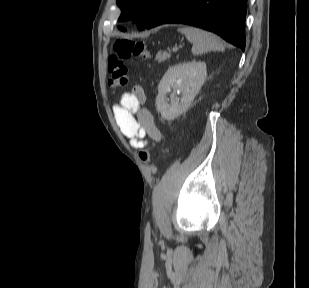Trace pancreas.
I'll return each instance as SVG.
<instances>
[{
  "instance_id": "cf45deb5",
  "label": "pancreas",
  "mask_w": 309,
  "mask_h": 288,
  "mask_svg": "<svg viewBox=\"0 0 309 288\" xmlns=\"http://www.w3.org/2000/svg\"><path fill=\"white\" fill-rule=\"evenodd\" d=\"M170 58V54L168 53H158L156 55L155 60H157L159 63L166 61L167 59Z\"/></svg>"
}]
</instances>
